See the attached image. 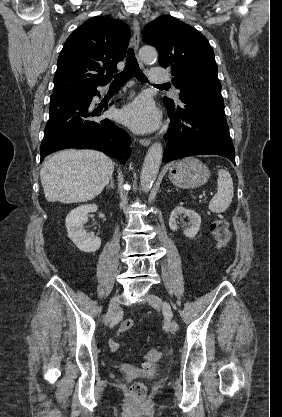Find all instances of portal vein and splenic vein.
<instances>
[{
    "label": "portal vein and splenic vein",
    "instance_id": "1",
    "mask_svg": "<svg viewBox=\"0 0 282 417\" xmlns=\"http://www.w3.org/2000/svg\"><path fill=\"white\" fill-rule=\"evenodd\" d=\"M209 196H210V197H213V196H214V193H213V192H210V193H209Z\"/></svg>",
    "mask_w": 282,
    "mask_h": 417
}]
</instances>
